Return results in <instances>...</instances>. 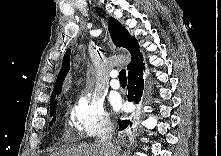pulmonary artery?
Here are the masks:
<instances>
[{
	"label": "pulmonary artery",
	"instance_id": "obj_1",
	"mask_svg": "<svg viewBox=\"0 0 221 156\" xmlns=\"http://www.w3.org/2000/svg\"><path fill=\"white\" fill-rule=\"evenodd\" d=\"M117 76H118V72L117 71H112L111 72V81H110V86L113 88V89H119L120 88V82L119 80L117 79Z\"/></svg>",
	"mask_w": 221,
	"mask_h": 156
}]
</instances>
